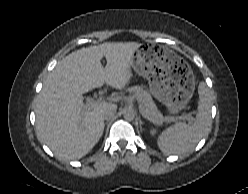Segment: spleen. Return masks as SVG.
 I'll list each match as a JSON object with an SVG mask.
<instances>
[{
	"mask_svg": "<svg viewBox=\"0 0 248 194\" xmlns=\"http://www.w3.org/2000/svg\"><path fill=\"white\" fill-rule=\"evenodd\" d=\"M198 93V112L194 123L192 125L176 123L159 135L157 145L164 154L186 153L210 132L212 97L204 82L199 84Z\"/></svg>",
	"mask_w": 248,
	"mask_h": 194,
	"instance_id": "1",
	"label": "spleen"
}]
</instances>
